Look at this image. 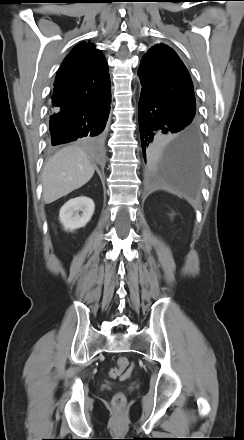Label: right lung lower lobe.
<instances>
[{
    "mask_svg": "<svg viewBox=\"0 0 244 440\" xmlns=\"http://www.w3.org/2000/svg\"><path fill=\"white\" fill-rule=\"evenodd\" d=\"M111 104V95L92 105L72 111H52L50 116L51 144L53 146L85 139L102 137Z\"/></svg>",
    "mask_w": 244,
    "mask_h": 440,
    "instance_id": "obj_1",
    "label": "right lung lower lobe"
}]
</instances>
